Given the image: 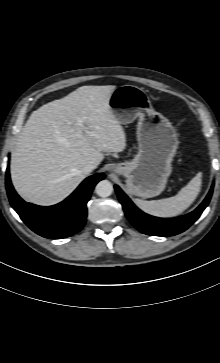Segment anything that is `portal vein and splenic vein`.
<instances>
[{
    "label": "portal vein and splenic vein",
    "mask_w": 220,
    "mask_h": 363,
    "mask_svg": "<svg viewBox=\"0 0 220 363\" xmlns=\"http://www.w3.org/2000/svg\"><path fill=\"white\" fill-rule=\"evenodd\" d=\"M79 123H80V125H82L81 123H82V121L81 120H79Z\"/></svg>",
    "instance_id": "18ae733b"
}]
</instances>
